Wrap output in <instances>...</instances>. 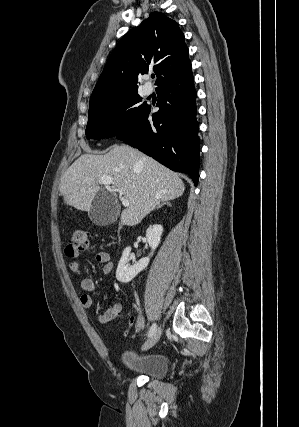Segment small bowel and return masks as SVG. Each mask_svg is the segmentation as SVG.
<instances>
[{
    "label": "small bowel",
    "instance_id": "1",
    "mask_svg": "<svg viewBox=\"0 0 299 427\" xmlns=\"http://www.w3.org/2000/svg\"><path fill=\"white\" fill-rule=\"evenodd\" d=\"M97 262L101 265L102 271L105 274H108L113 269V263L111 261L110 255L105 252L98 253L96 255ZM69 268L72 273L75 275H82L83 268L81 264L77 261H72L69 264ZM81 287L84 293L80 296V303L83 308L90 309L93 307L94 301L93 297L89 294V292L94 290L95 284L94 281L90 278H84L81 281ZM122 303L118 302L115 305L109 307L104 313L98 316V321L102 324H106L112 320H114L122 311ZM144 327L143 318L140 314L139 308L136 309L135 316V330L136 332L142 331Z\"/></svg>",
    "mask_w": 299,
    "mask_h": 427
}]
</instances>
